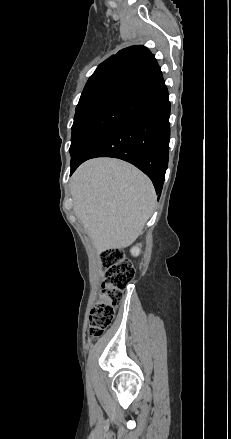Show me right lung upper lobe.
<instances>
[{"label": "right lung upper lobe", "instance_id": "cb5924a9", "mask_svg": "<svg viewBox=\"0 0 231 439\" xmlns=\"http://www.w3.org/2000/svg\"><path fill=\"white\" fill-rule=\"evenodd\" d=\"M163 79L154 55L144 46H131L101 63L82 92L80 106L114 94H136Z\"/></svg>", "mask_w": 231, "mask_h": 439}]
</instances>
